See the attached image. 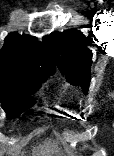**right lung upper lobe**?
I'll return each instance as SVG.
<instances>
[{
  "label": "right lung upper lobe",
  "mask_w": 114,
  "mask_h": 156,
  "mask_svg": "<svg viewBox=\"0 0 114 156\" xmlns=\"http://www.w3.org/2000/svg\"><path fill=\"white\" fill-rule=\"evenodd\" d=\"M56 68L43 44L30 35L10 33L0 50V79L49 76Z\"/></svg>",
  "instance_id": "right-lung-upper-lobe-1"
}]
</instances>
